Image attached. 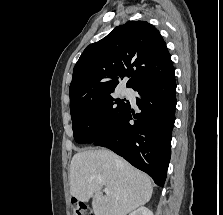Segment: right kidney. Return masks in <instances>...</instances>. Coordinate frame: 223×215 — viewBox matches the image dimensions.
Wrapping results in <instances>:
<instances>
[{"label": "right kidney", "instance_id": "obj_1", "mask_svg": "<svg viewBox=\"0 0 223 215\" xmlns=\"http://www.w3.org/2000/svg\"><path fill=\"white\" fill-rule=\"evenodd\" d=\"M129 215H153V211H151V209H148V207H144V205H141V207H138V209H135V211H131Z\"/></svg>", "mask_w": 223, "mask_h": 215}]
</instances>
